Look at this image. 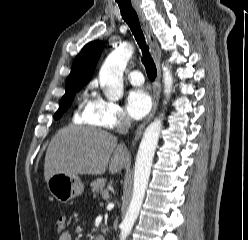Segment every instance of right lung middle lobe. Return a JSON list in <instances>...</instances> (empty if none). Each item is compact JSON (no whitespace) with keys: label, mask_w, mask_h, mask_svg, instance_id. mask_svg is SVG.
I'll return each instance as SVG.
<instances>
[{"label":"right lung middle lobe","mask_w":248,"mask_h":240,"mask_svg":"<svg viewBox=\"0 0 248 240\" xmlns=\"http://www.w3.org/2000/svg\"><path fill=\"white\" fill-rule=\"evenodd\" d=\"M84 86V84H82L79 81H70L66 83V92L65 95L62 97L60 105H59V109L57 110V112L54 115V119H59L62 114L68 109V107L70 106L73 98L76 95V92H78L79 90L82 89V87Z\"/></svg>","instance_id":"obj_1"}]
</instances>
